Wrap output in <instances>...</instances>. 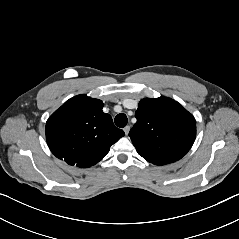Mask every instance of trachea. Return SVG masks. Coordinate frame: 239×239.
I'll use <instances>...</instances> for the list:
<instances>
[{"instance_id":"1","label":"trachea","mask_w":239,"mask_h":239,"mask_svg":"<svg viewBox=\"0 0 239 239\" xmlns=\"http://www.w3.org/2000/svg\"><path fill=\"white\" fill-rule=\"evenodd\" d=\"M114 122L116 126L123 128L127 125L128 119L124 113H120L115 117Z\"/></svg>"}]
</instances>
